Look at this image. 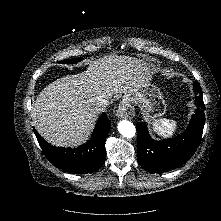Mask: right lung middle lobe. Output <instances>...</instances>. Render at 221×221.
Listing matches in <instances>:
<instances>
[{
	"label": "right lung middle lobe",
	"mask_w": 221,
	"mask_h": 221,
	"mask_svg": "<svg viewBox=\"0 0 221 221\" xmlns=\"http://www.w3.org/2000/svg\"><path fill=\"white\" fill-rule=\"evenodd\" d=\"M81 59H69V60H65V61H61L60 63H64V64H74L79 62Z\"/></svg>",
	"instance_id": "obj_1"
}]
</instances>
